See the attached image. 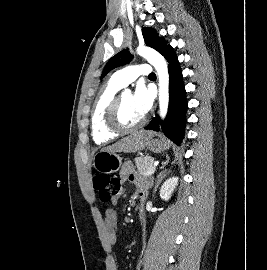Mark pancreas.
I'll return each mask as SVG.
<instances>
[{"mask_svg":"<svg viewBox=\"0 0 267 270\" xmlns=\"http://www.w3.org/2000/svg\"><path fill=\"white\" fill-rule=\"evenodd\" d=\"M135 163L138 172L143 176H147V172L153 168L154 158L150 156L137 157L135 158Z\"/></svg>","mask_w":267,"mask_h":270,"instance_id":"obj_1","label":"pancreas"}]
</instances>
